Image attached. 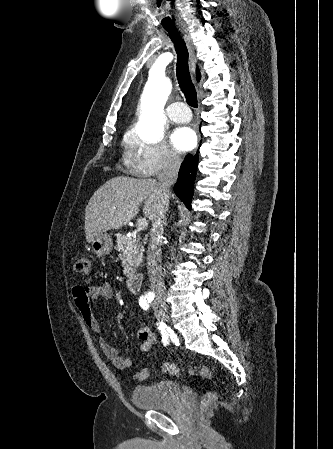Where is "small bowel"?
Instances as JSON below:
<instances>
[{
	"mask_svg": "<svg viewBox=\"0 0 333 449\" xmlns=\"http://www.w3.org/2000/svg\"><path fill=\"white\" fill-rule=\"evenodd\" d=\"M113 296L111 286L106 283H99L90 286L75 285L72 288V297L74 305L78 310L84 324L96 333H100V327L92 312L90 306L91 299L110 300ZM139 349L142 352L151 350L155 338L151 330L141 325L136 333ZM99 345L105 356L118 369H125L132 365L133 361L130 357H122L119 355L117 349L107 342L105 339H99Z\"/></svg>",
	"mask_w": 333,
	"mask_h": 449,
	"instance_id": "1",
	"label": "small bowel"
}]
</instances>
